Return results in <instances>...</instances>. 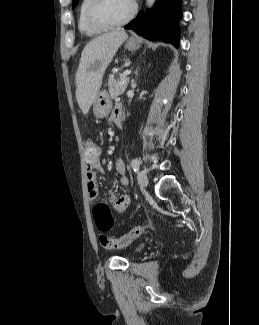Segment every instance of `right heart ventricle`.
Instances as JSON below:
<instances>
[{
	"label": "right heart ventricle",
	"instance_id": "obj_1",
	"mask_svg": "<svg viewBox=\"0 0 259 325\" xmlns=\"http://www.w3.org/2000/svg\"><path fill=\"white\" fill-rule=\"evenodd\" d=\"M89 4H90V0H81L80 1L79 7H78V19H77L78 29L84 35L95 36L97 34H100L104 30L94 28L88 23L87 18H86V11H87Z\"/></svg>",
	"mask_w": 259,
	"mask_h": 325
}]
</instances>
